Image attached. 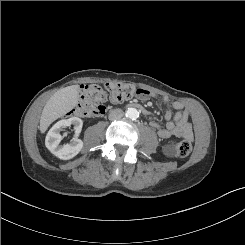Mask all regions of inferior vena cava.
Wrapping results in <instances>:
<instances>
[{"label":"inferior vena cava","mask_w":245,"mask_h":245,"mask_svg":"<svg viewBox=\"0 0 245 245\" xmlns=\"http://www.w3.org/2000/svg\"><path fill=\"white\" fill-rule=\"evenodd\" d=\"M123 111L121 109H114L111 110L109 113V120L114 121V120H119L123 117Z\"/></svg>","instance_id":"1"}]
</instances>
